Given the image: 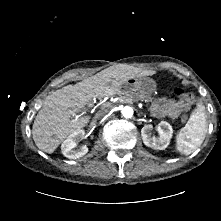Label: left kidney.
Here are the masks:
<instances>
[{
    "label": "left kidney",
    "instance_id": "1",
    "mask_svg": "<svg viewBox=\"0 0 221 221\" xmlns=\"http://www.w3.org/2000/svg\"><path fill=\"white\" fill-rule=\"evenodd\" d=\"M152 125H145L141 129V136L143 139V143L151 148L163 150L165 149L172 138L173 129L172 126L166 122L161 121L157 126V131L159 133V137H151Z\"/></svg>",
    "mask_w": 221,
    "mask_h": 221
}]
</instances>
